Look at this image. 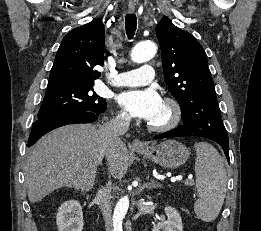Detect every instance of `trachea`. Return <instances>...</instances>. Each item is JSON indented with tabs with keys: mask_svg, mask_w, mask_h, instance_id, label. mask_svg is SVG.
<instances>
[{
	"mask_svg": "<svg viewBox=\"0 0 261 231\" xmlns=\"http://www.w3.org/2000/svg\"><path fill=\"white\" fill-rule=\"evenodd\" d=\"M137 26V18L135 14H127L125 18V29L129 39H132Z\"/></svg>",
	"mask_w": 261,
	"mask_h": 231,
	"instance_id": "1",
	"label": "trachea"
}]
</instances>
